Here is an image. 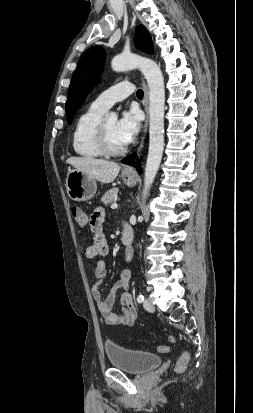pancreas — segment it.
I'll list each match as a JSON object with an SVG mask.
<instances>
[{
    "mask_svg": "<svg viewBox=\"0 0 253 413\" xmlns=\"http://www.w3.org/2000/svg\"><path fill=\"white\" fill-rule=\"evenodd\" d=\"M117 193H118V188H112L102 196L101 201L105 205L112 203L116 199Z\"/></svg>",
    "mask_w": 253,
    "mask_h": 413,
    "instance_id": "cf45deb5",
    "label": "pancreas"
}]
</instances>
